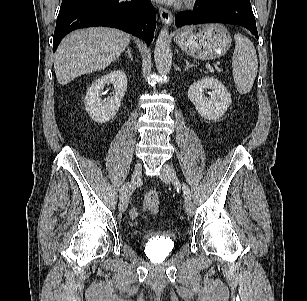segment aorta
Here are the masks:
<instances>
[{"label":"aorta","instance_id":"aorta-1","mask_svg":"<svg viewBox=\"0 0 307 301\" xmlns=\"http://www.w3.org/2000/svg\"><path fill=\"white\" fill-rule=\"evenodd\" d=\"M154 59L157 71L160 75L169 73L172 65V53L168 28L164 27L155 43Z\"/></svg>","mask_w":307,"mask_h":301}]
</instances>
